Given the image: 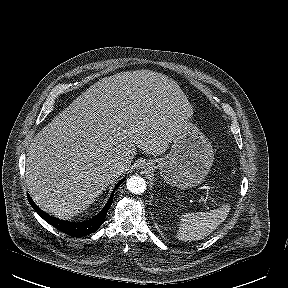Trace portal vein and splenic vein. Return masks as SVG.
I'll list each match as a JSON object with an SVG mask.
<instances>
[{"mask_svg": "<svg viewBox=\"0 0 288 288\" xmlns=\"http://www.w3.org/2000/svg\"><path fill=\"white\" fill-rule=\"evenodd\" d=\"M205 189H209V186H205Z\"/></svg>", "mask_w": 288, "mask_h": 288, "instance_id": "portal-vein-and-splenic-vein-1", "label": "portal vein and splenic vein"}]
</instances>
